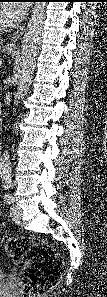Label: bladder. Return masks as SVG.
<instances>
[{"instance_id": "1", "label": "bladder", "mask_w": 107, "mask_h": 297, "mask_svg": "<svg viewBox=\"0 0 107 297\" xmlns=\"http://www.w3.org/2000/svg\"><path fill=\"white\" fill-rule=\"evenodd\" d=\"M4 274L0 271V279L3 280Z\"/></svg>"}]
</instances>
